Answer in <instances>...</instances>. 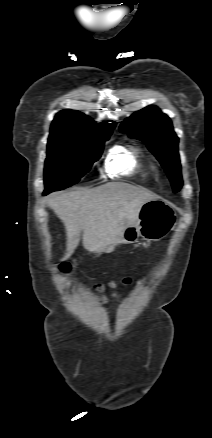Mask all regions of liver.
Here are the masks:
<instances>
[{"instance_id":"6515ba94","label":"liver","mask_w":212,"mask_h":438,"mask_svg":"<svg viewBox=\"0 0 212 438\" xmlns=\"http://www.w3.org/2000/svg\"><path fill=\"white\" fill-rule=\"evenodd\" d=\"M158 196L126 183L105 185L49 196L48 206L61 219L66 230L68 259L83 232V247L101 254L119 244L124 230L138 218L142 205Z\"/></svg>"}]
</instances>
